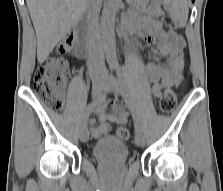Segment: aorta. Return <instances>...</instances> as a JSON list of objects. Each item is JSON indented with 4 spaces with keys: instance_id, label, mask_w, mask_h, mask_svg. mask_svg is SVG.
Returning a JSON list of instances; mask_svg holds the SVG:
<instances>
[{
    "instance_id": "1",
    "label": "aorta",
    "mask_w": 223,
    "mask_h": 191,
    "mask_svg": "<svg viewBox=\"0 0 223 191\" xmlns=\"http://www.w3.org/2000/svg\"><path fill=\"white\" fill-rule=\"evenodd\" d=\"M116 9V0H107L103 7L101 17L102 44L109 64L117 63L114 31Z\"/></svg>"
}]
</instances>
